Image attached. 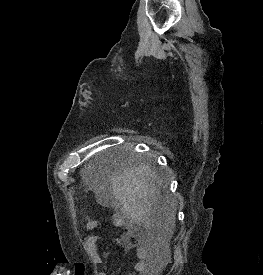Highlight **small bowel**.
I'll list each match as a JSON object with an SVG mask.
<instances>
[{
    "instance_id": "small-bowel-1",
    "label": "small bowel",
    "mask_w": 263,
    "mask_h": 275,
    "mask_svg": "<svg viewBox=\"0 0 263 275\" xmlns=\"http://www.w3.org/2000/svg\"><path fill=\"white\" fill-rule=\"evenodd\" d=\"M99 226V222L92 220L89 221L86 225L88 230L95 229ZM100 240L99 236H91L87 240V250L93 259L95 264L102 263V259L98 254L97 243ZM136 255H137V262L134 266V272L129 275H155V272L158 270L150 261L149 252L146 246H144L141 242L136 244ZM98 275H106L104 272L99 273Z\"/></svg>"
}]
</instances>
